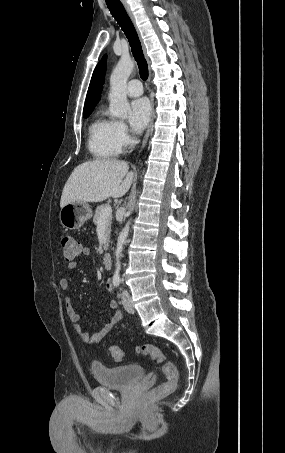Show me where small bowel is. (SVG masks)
<instances>
[{
    "label": "small bowel",
    "mask_w": 285,
    "mask_h": 453,
    "mask_svg": "<svg viewBox=\"0 0 285 453\" xmlns=\"http://www.w3.org/2000/svg\"><path fill=\"white\" fill-rule=\"evenodd\" d=\"M80 254L84 256H88L90 254V249L88 247H82L80 250ZM77 266L76 262L72 261L69 262L68 268L70 270L75 269ZM59 286L62 290H68L70 287V281L68 278H62L59 281ZM106 288L108 291H112V283L108 281L106 283ZM109 307L111 309H116L117 308V303L114 299H111L109 301ZM66 311L68 314V317L70 320L74 323V329L76 333L79 335V337L84 341L85 343L89 344H95L101 342L107 335L108 333L112 330L115 324H117L119 321L122 320L123 314L121 311H116L109 322H107L98 332L94 334H90L87 332L83 326L79 323L80 321V314L75 308L72 300L70 298H66Z\"/></svg>",
    "instance_id": "obj_1"
}]
</instances>
